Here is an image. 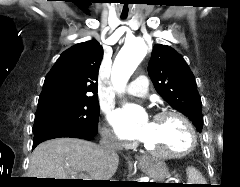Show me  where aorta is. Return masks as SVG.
Here are the masks:
<instances>
[{"label":"aorta","instance_id":"1","mask_svg":"<svg viewBox=\"0 0 240 187\" xmlns=\"http://www.w3.org/2000/svg\"><path fill=\"white\" fill-rule=\"evenodd\" d=\"M146 44L140 38L127 42L117 55L111 72L112 84L117 92L124 91L126 84L146 54ZM129 110H136L134 105H127Z\"/></svg>","mask_w":240,"mask_h":187}]
</instances>
